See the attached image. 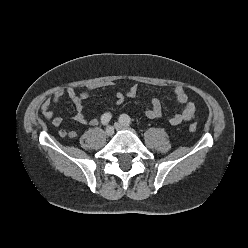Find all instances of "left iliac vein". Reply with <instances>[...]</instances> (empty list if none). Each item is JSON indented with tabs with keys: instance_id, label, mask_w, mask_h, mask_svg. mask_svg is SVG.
<instances>
[{
	"instance_id": "4c4485c4",
	"label": "left iliac vein",
	"mask_w": 248,
	"mask_h": 248,
	"mask_svg": "<svg viewBox=\"0 0 248 248\" xmlns=\"http://www.w3.org/2000/svg\"><path fill=\"white\" fill-rule=\"evenodd\" d=\"M115 128H116L117 130H130V131H131V129H130L129 126L124 125V124L121 123V122L115 123Z\"/></svg>"
}]
</instances>
